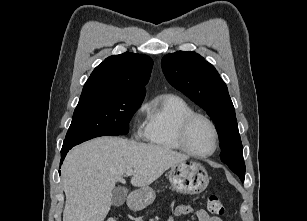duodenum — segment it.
<instances>
[{
  "label": "duodenum",
  "mask_w": 307,
  "mask_h": 221,
  "mask_svg": "<svg viewBox=\"0 0 307 221\" xmlns=\"http://www.w3.org/2000/svg\"><path fill=\"white\" fill-rule=\"evenodd\" d=\"M132 202H133L135 205H137V203H138V198L135 197V196H132Z\"/></svg>",
  "instance_id": "1"
}]
</instances>
